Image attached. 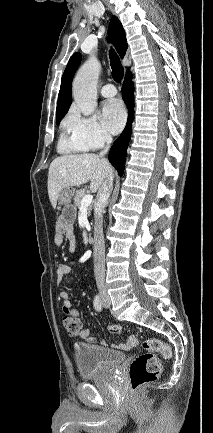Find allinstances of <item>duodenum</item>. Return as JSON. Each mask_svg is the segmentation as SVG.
Here are the masks:
<instances>
[{
    "label": "duodenum",
    "instance_id": "obj_1",
    "mask_svg": "<svg viewBox=\"0 0 213 433\" xmlns=\"http://www.w3.org/2000/svg\"><path fill=\"white\" fill-rule=\"evenodd\" d=\"M88 241H89L90 244H94V243H95V238H94V236H92V235L89 236Z\"/></svg>",
    "mask_w": 213,
    "mask_h": 433
}]
</instances>
